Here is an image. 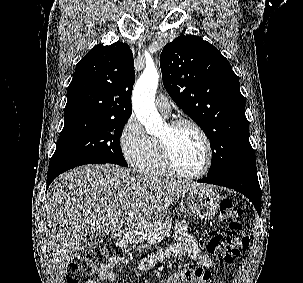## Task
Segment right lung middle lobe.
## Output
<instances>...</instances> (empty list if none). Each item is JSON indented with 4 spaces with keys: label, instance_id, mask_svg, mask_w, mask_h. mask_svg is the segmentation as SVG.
Returning <instances> with one entry per match:
<instances>
[{
    "label": "right lung middle lobe",
    "instance_id": "1",
    "mask_svg": "<svg viewBox=\"0 0 303 283\" xmlns=\"http://www.w3.org/2000/svg\"><path fill=\"white\" fill-rule=\"evenodd\" d=\"M127 120L94 115L64 118V128L49 167L81 162L127 166L119 141Z\"/></svg>",
    "mask_w": 303,
    "mask_h": 283
}]
</instances>
